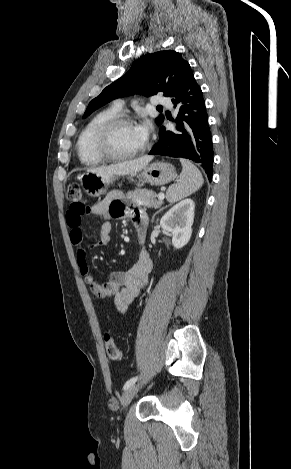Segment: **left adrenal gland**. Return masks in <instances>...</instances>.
I'll list each match as a JSON object with an SVG mask.
<instances>
[{"label": "left adrenal gland", "instance_id": "1", "mask_svg": "<svg viewBox=\"0 0 291 469\" xmlns=\"http://www.w3.org/2000/svg\"><path fill=\"white\" fill-rule=\"evenodd\" d=\"M164 208H166V207H162L160 210H158V211L153 215V218H154V216H155L157 213H159L160 211H162Z\"/></svg>", "mask_w": 291, "mask_h": 469}]
</instances>
